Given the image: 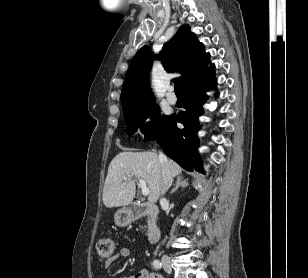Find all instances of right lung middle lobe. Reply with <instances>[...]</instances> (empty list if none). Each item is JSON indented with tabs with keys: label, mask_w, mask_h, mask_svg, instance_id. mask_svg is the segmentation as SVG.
Segmentation results:
<instances>
[{
	"label": "right lung middle lobe",
	"mask_w": 308,
	"mask_h": 278,
	"mask_svg": "<svg viewBox=\"0 0 308 278\" xmlns=\"http://www.w3.org/2000/svg\"><path fill=\"white\" fill-rule=\"evenodd\" d=\"M158 112L159 107L155 103L125 112L124 118L128 127V135L131 136L140 129L145 140L155 139L166 127L170 119V116L160 117ZM148 116H153V122L150 124L145 123Z\"/></svg>",
	"instance_id": "1"
}]
</instances>
